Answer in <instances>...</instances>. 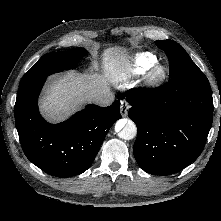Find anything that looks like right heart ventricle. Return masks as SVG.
Instances as JSON below:
<instances>
[{
  "label": "right heart ventricle",
  "mask_w": 221,
  "mask_h": 221,
  "mask_svg": "<svg viewBox=\"0 0 221 221\" xmlns=\"http://www.w3.org/2000/svg\"><path fill=\"white\" fill-rule=\"evenodd\" d=\"M158 62L157 57L149 52L136 54L131 63L120 74V79L125 80L132 76H138L146 73Z\"/></svg>",
  "instance_id": "1"
}]
</instances>
